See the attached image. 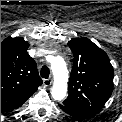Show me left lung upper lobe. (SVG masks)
<instances>
[{"label": "left lung upper lobe", "instance_id": "1", "mask_svg": "<svg viewBox=\"0 0 122 122\" xmlns=\"http://www.w3.org/2000/svg\"><path fill=\"white\" fill-rule=\"evenodd\" d=\"M74 55L69 96L63 105L88 117L105 105L113 90V67L108 55L87 38L68 42Z\"/></svg>", "mask_w": 122, "mask_h": 122}]
</instances>
